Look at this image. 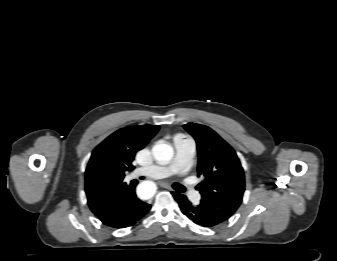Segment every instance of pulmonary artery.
Returning a JSON list of instances; mask_svg holds the SVG:
<instances>
[{
  "label": "pulmonary artery",
  "instance_id": "pulmonary-artery-1",
  "mask_svg": "<svg viewBox=\"0 0 337 261\" xmlns=\"http://www.w3.org/2000/svg\"><path fill=\"white\" fill-rule=\"evenodd\" d=\"M175 148L176 157L170 165L142 167L137 169L135 174L158 179L183 170L194 157L195 143L191 139L177 140L175 141ZM188 195L193 201H198L200 198L199 193L191 187L188 188Z\"/></svg>",
  "mask_w": 337,
  "mask_h": 261
}]
</instances>
